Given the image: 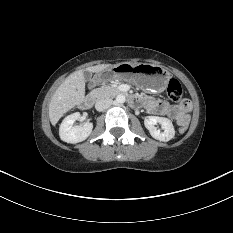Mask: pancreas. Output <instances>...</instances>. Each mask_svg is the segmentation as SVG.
I'll list each match as a JSON object with an SVG mask.
<instances>
[{
  "label": "pancreas",
  "mask_w": 233,
  "mask_h": 233,
  "mask_svg": "<svg viewBox=\"0 0 233 233\" xmlns=\"http://www.w3.org/2000/svg\"><path fill=\"white\" fill-rule=\"evenodd\" d=\"M119 93L118 88L110 86H102L91 91V96L97 99L113 98Z\"/></svg>",
  "instance_id": "pancreas-1"
}]
</instances>
